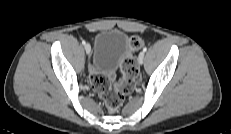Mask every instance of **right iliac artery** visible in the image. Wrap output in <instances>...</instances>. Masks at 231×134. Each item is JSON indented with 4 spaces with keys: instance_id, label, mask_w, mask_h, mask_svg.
Segmentation results:
<instances>
[{
    "instance_id": "1",
    "label": "right iliac artery",
    "mask_w": 231,
    "mask_h": 134,
    "mask_svg": "<svg viewBox=\"0 0 231 134\" xmlns=\"http://www.w3.org/2000/svg\"><path fill=\"white\" fill-rule=\"evenodd\" d=\"M82 44H83V45H85V44H86V42H85L84 40H82Z\"/></svg>"
}]
</instances>
